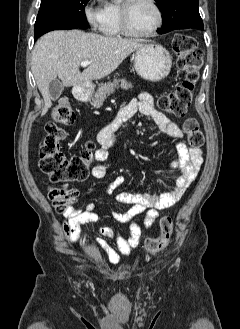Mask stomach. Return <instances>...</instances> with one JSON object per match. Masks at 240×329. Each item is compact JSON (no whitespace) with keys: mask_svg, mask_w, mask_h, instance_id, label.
<instances>
[{"mask_svg":"<svg viewBox=\"0 0 240 329\" xmlns=\"http://www.w3.org/2000/svg\"><path fill=\"white\" fill-rule=\"evenodd\" d=\"M172 56L161 45L143 44L134 54V67L140 77L148 81H159L165 78L171 69ZM88 88V93L93 90Z\"/></svg>","mask_w":240,"mask_h":329,"instance_id":"stomach-1","label":"stomach"}]
</instances>
